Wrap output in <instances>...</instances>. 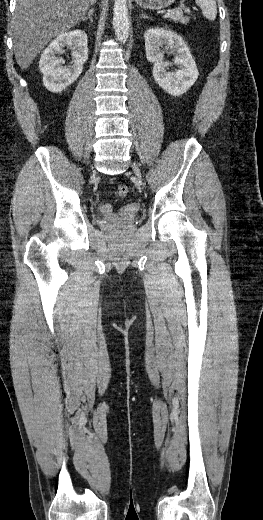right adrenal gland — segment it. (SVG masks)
<instances>
[{
	"instance_id": "right-adrenal-gland-1",
	"label": "right adrenal gland",
	"mask_w": 263,
	"mask_h": 520,
	"mask_svg": "<svg viewBox=\"0 0 263 520\" xmlns=\"http://www.w3.org/2000/svg\"><path fill=\"white\" fill-rule=\"evenodd\" d=\"M93 14H94V9H90V10L88 11L87 16L83 17L81 21L84 22V21L89 20V21L91 22V24H92V23H93V19H92Z\"/></svg>"
}]
</instances>
